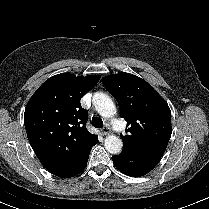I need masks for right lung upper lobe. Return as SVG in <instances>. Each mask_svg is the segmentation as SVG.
Here are the masks:
<instances>
[{
    "label": "right lung upper lobe",
    "instance_id": "1",
    "mask_svg": "<svg viewBox=\"0 0 209 209\" xmlns=\"http://www.w3.org/2000/svg\"><path fill=\"white\" fill-rule=\"evenodd\" d=\"M100 77L61 73L47 79L30 98L24 113L28 140L44 167L62 176L98 139L85 127L80 99Z\"/></svg>",
    "mask_w": 209,
    "mask_h": 209
}]
</instances>
